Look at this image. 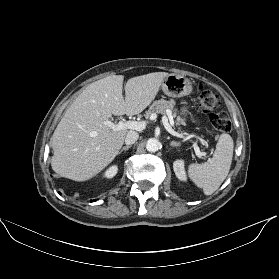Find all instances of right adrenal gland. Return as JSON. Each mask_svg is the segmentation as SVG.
Masks as SVG:
<instances>
[{"label": "right adrenal gland", "instance_id": "right-adrenal-gland-1", "mask_svg": "<svg viewBox=\"0 0 279 279\" xmlns=\"http://www.w3.org/2000/svg\"><path fill=\"white\" fill-rule=\"evenodd\" d=\"M129 148H131V145L124 146V147L118 152V154H121L123 151H127Z\"/></svg>", "mask_w": 279, "mask_h": 279}]
</instances>
